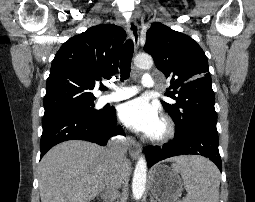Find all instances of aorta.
<instances>
[{
	"mask_svg": "<svg viewBox=\"0 0 255 202\" xmlns=\"http://www.w3.org/2000/svg\"><path fill=\"white\" fill-rule=\"evenodd\" d=\"M134 65L140 69H151L153 59L150 55L139 54L134 58ZM147 176V162L144 156L139 157L132 180V192L136 200H139L145 191Z\"/></svg>",
	"mask_w": 255,
	"mask_h": 202,
	"instance_id": "1",
	"label": "aorta"
}]
</instances>
